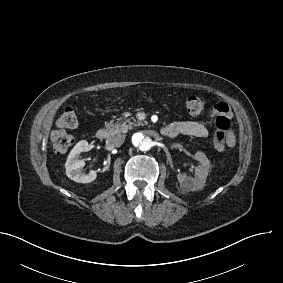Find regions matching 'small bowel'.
<instances>
[{
	"mask_svg": "<svg viewBox=\"0 0 283 283\" xmlns=\"http://www.w3.org/2000/svg\"><path fill=\"white\" fill-rule=\"evenodd\" d=\"M229 111V105L226 101L221 100L214 106H211L208 110L209 118L213 119L219 115L224 116ZM170 133L171 137L177 135L194 136L199 138H205L208 136L209 131L205 124L197 121H180L171 123L165 127ZM235 135L233 132L229 133L226 141V146L232 148L235 145Z\"/></svg>",
	"mask_w": 283,
	"mask_h": 283,
	"instance_id": "1",
	"label": "small bowel"
}]
</instances>
